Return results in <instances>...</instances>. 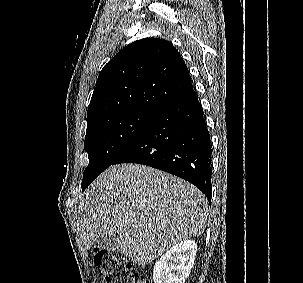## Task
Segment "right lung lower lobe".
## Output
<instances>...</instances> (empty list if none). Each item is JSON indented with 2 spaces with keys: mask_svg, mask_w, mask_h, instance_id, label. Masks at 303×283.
Segmentation results:
<instances>
[{
  "mask_svg": "<svg viewBox=\"0 0 303 283\" xmlns=\"http://www.w3.org/2000/svg\"><path fill=\"white\" fill-rule=\"evenodd\" d=\"M211 141L193 90L160 110L113 162L148 165L179 176L211 199Z\"/></svg>",
  "mask_w": 303,
  "mask_h": 283,
  "instance_id": "1",
  "label": "right lung lower lobe"
}]
</instances>
